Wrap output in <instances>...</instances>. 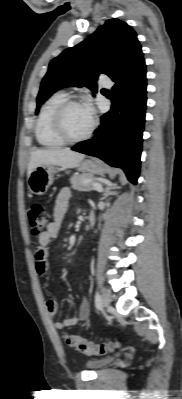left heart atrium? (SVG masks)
Segmentation results:
<instances>
[{
    "label": "left heart atrium",
    "instance_id": "left-heart-atrium-1",
    "mask_svg": "<svg viewBox=\"0 0 182 399\" xmlns=\"http://www.w3.org/2000/svg\"><path fill=\"white\" fill-rule=\"evenodd\" d=\"M85 107H86V109H87V111L89 112V114L92 116V114H93V108H92V106L88 103V104H85L84 105Z\"/></svg>",
    "mask_w": 182,
    "mask_h": 399
}]
</instances>
